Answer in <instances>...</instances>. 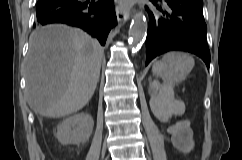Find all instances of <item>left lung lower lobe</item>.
Instances as JSON below:
<instances>
[{"label":"left lung lower lobe","mask_w":242,"mask_h":160,"mask_svg":"<svg viewBox=\"0 0 242 160\" xmlns=\"http://www.w3.org/2000/svg\"><path fill=\"white\" fill-rule=\"evenodd\" d=\"M151 3L155 9L146 8L149 14L146 65L162 53L179 50L196 54L209 68L203 6L190 0H151Z\"/></svg>","instance_id":"1"}]
</instances>
